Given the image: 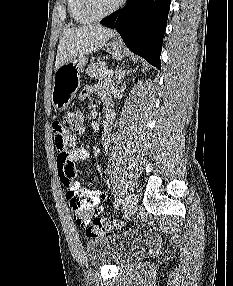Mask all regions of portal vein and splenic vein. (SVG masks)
I'll use <instances>...</instances> for the list:
<instances>
[{
	"instance_id": "18ae733b",
	"label": "portal vein and splenic vein",
	"mask_w": 233,
	"mask_h": 286,
	"mask_svg": "<svg viewBox=\"0 0 233 286\" xmlns=\"http://www.w3.org/2000/svg\"><path fill=\"white\" fill-rule=\"evenodd\" d=\"M105 74L112 76L114 74V72L111 69H107V70H105Z\"/></svg>"
}]
</instances>
